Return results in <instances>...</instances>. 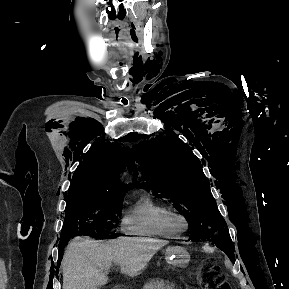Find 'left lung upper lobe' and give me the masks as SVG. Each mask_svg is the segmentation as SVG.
<instances>
[{"label": "left lung upper lobe", "instance_id": "left-lung-upper-lobe-1", "mask_svg": "<svg viewBox=\"0 0 289 289\" xmlns=\"http://www.w3.org/2000/svg\"><path fill=\"white\" fill-rule=\"evenodd\" d=\"M140 153L142 185L157 188L171 199L190 223V240L205 239L235 262L233 243L225 220L210 191L199 159L175 134L143 141Z\"/></svg>", "mask_w": 289, "mask_h": 289}]
</instances>
